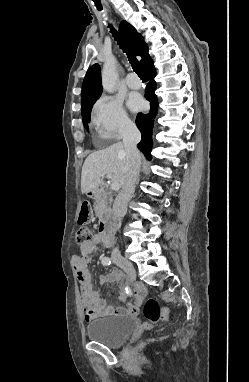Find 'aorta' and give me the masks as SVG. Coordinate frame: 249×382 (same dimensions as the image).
I'll use <instances>...</instances> for the list:
<instances>
[{
  "label": "aorta",
  "mask_w": 249,
  "mask_h": 382,
  "mask_svg": "<svg viewBox=\"0 0 249 382\" xmlns=\"http://www.w3.org/2000/svg\"><path fill=\"white\" fill-rule=\"evenodd\" d=\"M117 73L115 59H108L102 69V87L108 93H114L116 89Z\"/></svg>",
  "instance_id": "aorta-1"
}]
</instances>
